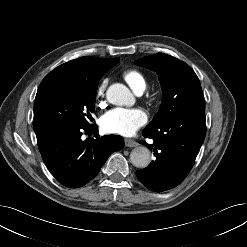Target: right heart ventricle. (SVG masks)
Masks as SVG:
<instances>
[{
  "label": "right heart ventricle",
  "mask_w": 247,
  "mask_h": 247,
  "mask_svg": "<svg viewBox=\"0 0 247 247\" xmlns=\"http://www.w3.org/2000/svg\"><path fill=\"white\" fill-rule=\"evenodd\" d=\"M122 77L134 92L143 91L146 87L145 76L138 69L128 68L122 72Z\"/></svg>",
  "instance_id": "1"
}]
</instances>
